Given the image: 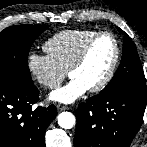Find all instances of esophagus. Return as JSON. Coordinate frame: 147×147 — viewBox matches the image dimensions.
Instances as JSON below:
<instances>
[{
    "label": "esophagus",
    "mask_w": 147,
    "mask_h": 147,
    "mask_svg": "<svg viewBox=\"0 0 147 147\" xmlns=\"http://www.w3.org/2000/svg\"><path fill=\"white\" fill-rule=\"evenodd\" d=\"M57 109H58L59 111H64V110H68L69 107H68V106H65V105H62V104H58V105H57Z\"/></svg>",
    "instance_id": "obj_1"
}]
</instances>
